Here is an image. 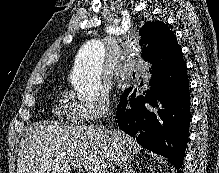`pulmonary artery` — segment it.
Instances as JSON below:
<instances>
[{"instance_id": "1", "label": "pulmonary artery", "mask_w": 219, "mask_h": 173, "mask_svg": "<svg viewBox=\"0 0 219 173\" xmlns=\"http://www.w3.org/2000/svg\"><path fill=\"white\" fill-rule=\"evenodd\" d=\"M129 69L127 68H122V67H118L117 69H115L114 74L116 77H123V76H127L129 74Z\"/></svg>"}]
</instances>
